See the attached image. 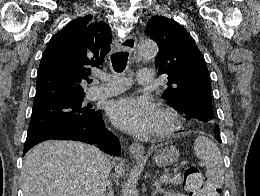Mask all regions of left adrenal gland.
Returning a JSON list of instances; mask_svg holds the SVG:
<instances>
[{"mask_svg":"<svg viewBox=\"0 0 260 196\" xmlns=\"http://www.w3.org/2000/svg\"><path fill=\"white\" fill-rule=\"evenodd\" d=\"M153 186H155V190H154L152 196H156V194H164V190H162L159 180H157V182H155V184H153Z\"/></svg>","mask_w":260,"mask_h":196,"instance_id":"left-adrenal-gland-1","label":"left adrenal gland"}]
</instances>
